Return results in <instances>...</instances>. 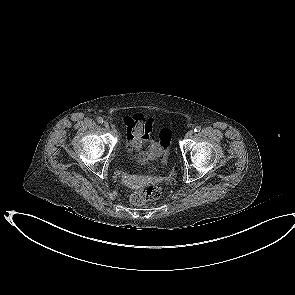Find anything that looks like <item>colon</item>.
I'll use <instances>...</instances> for the list:
<instances>
[{
	"instance_id": "5ec220e1",
	"label": "colon",
	"mask_w": 295,
	"mask_h": 295,
	"mask_svg": "<svg viewBox=\"0 0 295 295\" xmlns=\"http://www.w3.org/2000/svg\"><path fill=\"white\" fill-rule=\"evenodd\" d=\"M160 142L163 146L162 167L167 163L168 150L171 142L172 132L170 129H163L160 132ZM162 188L159 184L154 183L150 190H136L131 195V202L135 205H144L149 201L156 200L161 196Z\"/></svg>"
}]
</instances>
